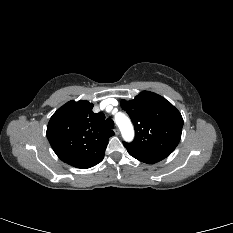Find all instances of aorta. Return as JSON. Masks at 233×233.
<instances>
[{"mask_svg":"<svg viewBox=\"0 0 233 233\" xmlns=\"http://www.w3.org/2000/svg\"><path fill=\"white\" fill-rule=\"evenodd\" d=\"M115 122L121 131L123 139L131 142L134 138V129L130 119L125 114L118 113L115 116Z\"/></svg>","mask_w":233,"mask_h":233,"instance_id":"obj_1","label":"aorta"}]
</instances>
